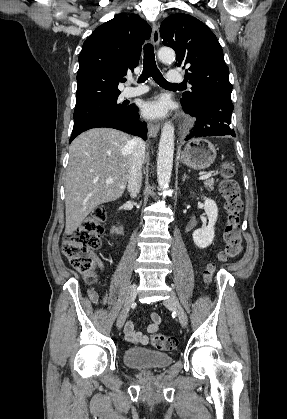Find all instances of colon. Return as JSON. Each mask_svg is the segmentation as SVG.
Returning <instances> with one entry per match:
<instances>
[{"instance_id":"1","label":"colon","mask_w":287,"mask_h":419,"mask_svg":"<svg viewBox=\"0 0 287 419\" xmlns=\"http://www.w3.org/2000/svg\"><path fill=\"white\" fill-rule=\"evenodd\" d=\"M233 166L225 162L221 166V182L219 191L225 201L227 220L224 227L223 238L225 248L219 254V260L224 262L237 258L242 253L241 237V212L243 202L238 182L233 178ZM106 210L99 206L91 211L81 225L71 234L66 235L63 241L62 251L69 259L72 267L84 274L89 282L95 280L97 258L95 252L100 247V238L104 232ZM214 266H208L205 272L206 282L211 281ZM152 345L158 350H172L177 346V339L173 336L153 334Z\"/></svg>"}]
</instances>
